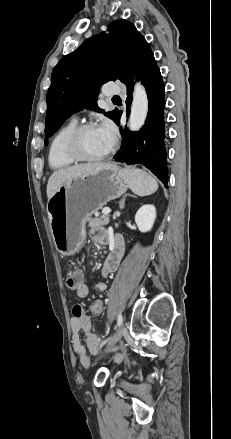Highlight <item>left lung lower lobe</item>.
Masks as SVG:
<instances>
[{
  "mask_svg": "<svg viewBox=\"0 0 231 439\" xmlns=\"http://www.w3.org/2000/svg\"><path fill=\"white\" fill-rule=\"evenodd\" d=\"M134 79L142 81L148 96V114L144 126L138 132L120 129L122 135L121 149L114 155L113 161L131 164H142L151 170L168 188V169L165 148L164 122V83L160 70L148 47L137 62L134 71L124 82L127 87V115L132 102ZM119 111L115 120L120 124Z\"/></svg>",
  "mask_w": 231,
  "mask_h": 439,
  "instance_id": "obj_1",
  "label": "left lung lower lobe"
}]
</instances>
